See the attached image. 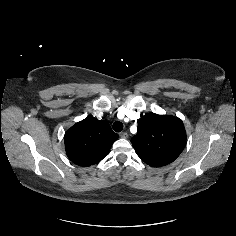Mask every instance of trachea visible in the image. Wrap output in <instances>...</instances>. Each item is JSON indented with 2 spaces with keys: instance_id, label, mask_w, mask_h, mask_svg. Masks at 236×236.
Here are the masks:
<instances>
[{
  "instance_id": "obj_1",
  "label": "trachea",
  "mask_w": 236,
  "mask_h": 236,
  "mask_svg": "<svg viewBox=\"0 0 236 236\" xmlns=\"http://www.w3.org/2000/svg\"><path fill=\"white\" fill-rule=\"evenodd\" d=\"M122 129H123V124L121 122L116 121V122L113 123V130L115 132H121Z\"/></svg>"
}]
</instances>
